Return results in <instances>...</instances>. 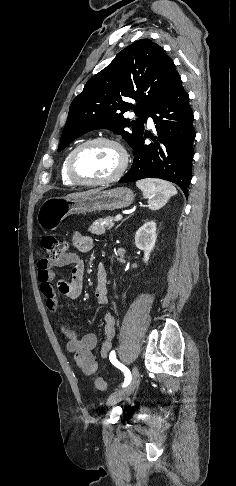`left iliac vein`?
Wrapping results in <instances>:
<instances>
[{
	"mask_svg": "<svg viewBox=\"0 0 236 486\" xmlns=\"http://www.w3.org/2000/svg\"><path fill=\"white\" fill-rule=\"evenodd\" d=\"M138 383H139V370L136 366H133L132 378H131L130 383L126 387H124L123 389L112 393L107 399V405H114V404L122 401L123 399H125L129 395H131L132 392L138 386Z\"/></svg>",
	"mask_w": 236,
	"mask_h": 486,
	"instance_id": "4c4485c4",
	"label": "left iliac vein"
}]
</instances>
